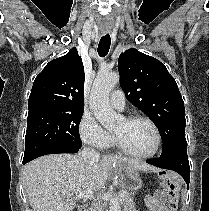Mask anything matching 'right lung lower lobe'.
Masks as SVG:
<instances>
[{"label":"right lung lower lobe","instance_id":"right-lung-lower-lobe-1","mask_svg":"<svg viewBox=\"0 0 209 211\" xmlns=\"http://www.w3.org/2000/svg\"><path fill=\"white\" fill-rule=\"evenodd\" d=\"M79 149H80L79 147H72V146H62V147L51 148V149H48V150L36 155L35 157H33L32 159H30L28 161H24L23 164H26L29 161H31L37 157L43 156V155L57 154V153H76L79 151Z\"/></svg>","mask_w":209,"mask_h":211}]
</instances>
